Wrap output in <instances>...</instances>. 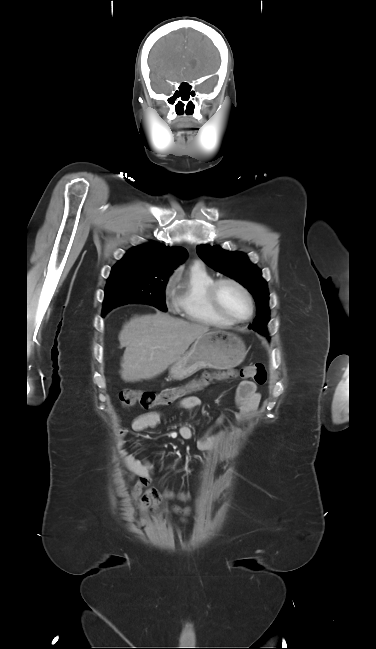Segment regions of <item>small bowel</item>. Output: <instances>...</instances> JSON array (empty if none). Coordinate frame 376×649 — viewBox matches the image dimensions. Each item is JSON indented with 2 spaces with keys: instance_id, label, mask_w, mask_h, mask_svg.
<instances>
[{
  "instance_id": "1",
  "label": "small bowel",
  "mask_w": 376,
  "mask_h": 649,
  "mask_svg": "<svg viewBox=\"0 0 376 649\" xmlns=\"http://www.w3.org/2000/svg\"><path fill=\"white\" fill-rule=\"evenodd\" d=\"M261 403V394L258 391L257 385L252 381H242L239 383L236 393V405H237V418L244 419L249 416L251 413L255 412ZM201 405V401L196 396H190L182 399L178 403V407L187 411L188 413H194L197 408ZM162 418V413L159 411H151L137 416L132 422V429L134 431H143L149 428L156 427ZM224 420L222 416L216 425H220ZM125 431L121 432L120 439L118 441V447L120 450V455L123 459V463L126 468L129 470L130 475L129 479H135V484L132 488V497L138 501V505L142 509H148L150 511H155L157 504L161 500V494L153 488L144 490L152 480V466L149 462L144 459H137L128 455L123 449V435ZM179 436L184 440H190L193 438V429L189 424H183L177 433L172 434V436ZM226 439V431L221 430L214 432L213 428L205 431L203 435L197 442L198 449L201 451H211L219 446H221ZM167 498H179L180 500L188 499V495L185 493L176 494L172 491H167L164 493ZM175 512L181 513L182 510L179 507H175ZM189 514L188 510L183 512V517L181 521H186V516ZM140 527H145V522L140 521Z\"/></svg>"
}]
</instances>
